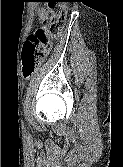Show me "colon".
I'll list each match as a JSON object with an SVG mask.
<instances>
[{
    "mask_svg": "<svg viewBox=\"0 0 123 167\" xmlns=\"http://www.w3.org/2000/svg\"><path fill=\"white\" fill-rule=\"evenodd\" d=\"M42 26L31 34L25 41L22 54V73L30 78L39 62L47 55L53 37L60 34L64 27L66 9L59 4L44 7L40 11Z\"/></svg>",
    "mask_w": 123,
    "mask_h": 167,
    "instance_id": "colon-1",
    "label": "colon"
}]
</instances>
